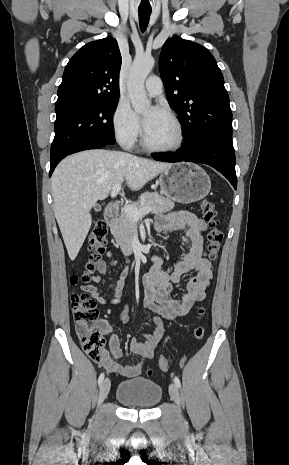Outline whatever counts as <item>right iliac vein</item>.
Returning a JSON list of instances; mask_svg holds the SVG:
<instances>
[{"label": "right iliac vein", "instance_id": "right-iliac-vein-1", "mask_svg": "<svg viewBox=\"0 0 289 465\" xmlns=\"http://www.w3.org/2000/svg\"><path fill=\"white\" fill-rule=\"evenodd\" d=\"M109 390H110V380L107 378L100 385L99 397H98L99 404L102 403L106 399L109 393Z\"/></svg>", "mask_w": 289, "mask_h": 465}]
</instances>
